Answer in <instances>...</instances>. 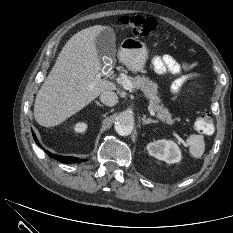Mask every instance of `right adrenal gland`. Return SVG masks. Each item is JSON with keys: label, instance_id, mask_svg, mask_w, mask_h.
I'll list each match as a JSON object with an SVG mask.
<instances>
[{"label": "right adrenal gland", "instance_id": "2a0ac1e0", "mask_svg": "<svg viewBox=\"0 0 233 233\" xmlns=\"http://www.w3.org/2000/svg\"><path fill=\"white\" fill-rule=\"evenodd\" d=\"M94 103H95L97 106H99V107H103V105H102V104H100V102H99V101H94Z\"/></svg>", "mask_w": 233, "mask_h": 233}]
</instances>
